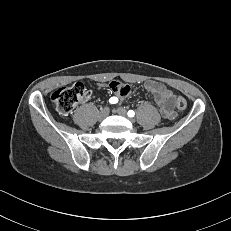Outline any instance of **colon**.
<instances>
[{
    "label": "colon",
    "mask_w": 231,
    "mask_h": 231,
    "mask_svg": "<svg viewBox=\"0 0 231 231\" xmlns=\"http://www.w3.org/2000/svg\"><path fill=\"white\" fill-rule=\"evenodd\" d=\"M88 96L85 86L77 82L71 86H65L53 92L51 99L58 113L62 116H69L75 107L84 101ZM176 107L179 110L187 108V101L184 97L178 96L175 100Z\"/></svg>",
    "instance_id": "colon-1"
}]
</instances>
